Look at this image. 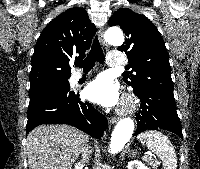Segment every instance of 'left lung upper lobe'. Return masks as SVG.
<instances>
[{"mask_svg": "<svg viewBox=\"0 0 200 169\" xmlns=\"http://www.w3.org/2000/svg\"><path fill=\"white\" fill-rule=\"evenodd\" d=\"M109 25L121 27L127 36L118 50L128 56L132 71L123 73V80L133 87L135 95L149 87L173 91L169 56L155 25L127 8L117 10L110 17Z\"/></svg>", "mask_w": 200, "mask_h": 169, "instance_id": "5c2ea615", "label": "left lung upper lobe"}]
</instances>
